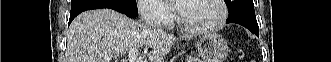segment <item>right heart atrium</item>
Returning a JSON list of instances; mask_svg holds the SVG:
<instances>
[{
  "label": "right heart atrium",
  "mask_w": 331,
  "mask_h": 62,
  "mask_svg": "<svg viewBox=\"0 0 331 62\" xmlns=\"http://www.w3.org/2000/svg\"><path fill=\"white\" fill-rule=\"evenodd\" d=\"M137 7L145 19L163 27L171 25L174 19L171 8L163 0H140Z\"/></svg>",
  "instance_id": "obj_1"
}]
</instances>
